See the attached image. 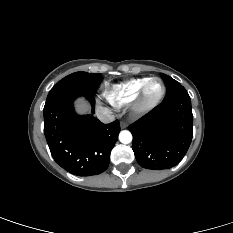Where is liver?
Returning <instances> with one entry per match:
<instances>
[{
    "label": "liver",
    "instance_id": "6515ba94",
    "mask_svg": "<svg viewBox=\"0 0 233 233\" xmlns=\"http://www.w3.org/2000/svg\"><path fill=\"white\" fill-rule=\"evenodd\" d=\"M75 106H76V111L79 114H85L89 108L88 104L83 99L77 100Z\"/></svg>",
    "mask_w": 233,
    "mask_h": 233
}]
</instances>
